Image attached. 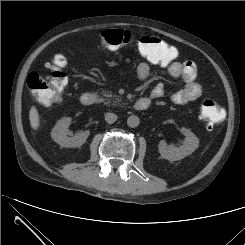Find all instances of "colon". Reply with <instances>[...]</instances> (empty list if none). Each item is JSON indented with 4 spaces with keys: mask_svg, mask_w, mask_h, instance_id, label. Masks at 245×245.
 Listing matches in <instances>:
<instances>
[{
    "mask_svg": "<svg viewBox=\"0 0 245 245\" xmlns=\"http://www.w3.org/2000/svg\"><path fill=\"white\" fill-rule=\"evenodd\" d=\"M101 43L107 48H119L129 44L131 33L125 29H109L101 36ZM139 54L149 62L158 65H169L176 58V51L165 41L154 36H142L138 40ZM63 62L57 60L52 65V72L43 77L37 72H30L27 76V86L33 98L40 104L51 105L61 100L67 79L62 72ZM201 115L208 130H213L224 119V110L214 99H207L202 103Z\"/></svg>",
    "mask_w": 245,
    "mask_h": 245,
    "instance_id": "1",
    "label": "colon"
}]
</instances>
